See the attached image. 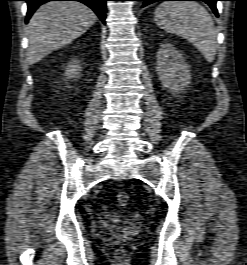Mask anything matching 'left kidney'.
Instances as JSON below:
<instances>
[{
    "instance_id": "left-kidney-1",
    "label": "left kidney",
    "mask_w": 247,
    "mask_h": 265,
    "mask_svg": "<svg viewBox=\"0 0 247 265\" xmlns=\"http://www.w3.org/2000/svg\"><path fill=\"white\" fill-rule=\"evenodd\" d=\"M156 71L163 87L173 94L183 91L191 82L190 66L170 43L161 45L157 53Z\"/></svg>"
}]
</instances>
